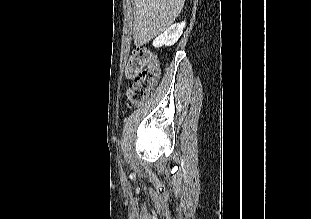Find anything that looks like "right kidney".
I'll use <instances>...</instances> for the list:
<instances>
[{
	"label": "right kidney",
	"mask_w": 311,
	"mask_h": 219,
	"mask_svg": "<svg viewBox=\"0 0 311 219\" xmlns=\"http://www.w3.org/2000/svg\"><path fill=\"white\" fill-rule=\"evenodd\" d=\"M184 27H185V22L171 25L168 29L165 30L163 34L158 36L153 41V46L162 47V46L174 45L180 38Z\"/></svg>",
	"instance_id": "1"
}]
</instances>
